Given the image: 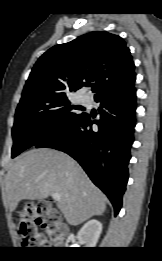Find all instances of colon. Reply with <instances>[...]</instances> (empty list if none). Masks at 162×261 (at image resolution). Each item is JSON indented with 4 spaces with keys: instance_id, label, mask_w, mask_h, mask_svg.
Returning a JSON list of instances; mask_svg holds the SVG:
<instances>
[{
    "instance_id": "colon-1",
    "label": "colon",
    "mask_w": 162,
    "mask_h": 261,
    "mask_svg": "<svg viewBox=\"0 0 162 261\" xmlns=\"http://www.w3.org/2000/svg\"><path fill=\"white\" fill-rule=\"evenodd\" d=\"M59 222L60 214L47 201L25 206L16 222L22 245L26 248L49 247L51 240H58L62 236Z\"/></svg>"
}]
</instances>
